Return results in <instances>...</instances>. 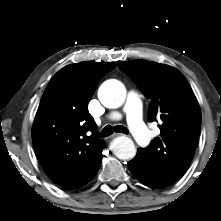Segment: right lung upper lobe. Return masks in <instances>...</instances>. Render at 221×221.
I'll return each instance as SVG.
<instances>
[{"instance_id": "cb5924a9", "label": "right lung upper lobe", "mask_w": 221, "mask_h": 221, "mask_svg": "<svg viewBox=\"0 0 221 221\" xmlns=\"http://www.w3.org/2000/svg\"><path fill=\"white\" fill-rule=\"evenodd\" d=\"M116 64L81 62L65 66L49 82L32 130L35 153L58 185L83 186L102 158L105 146L87 106L100 79Z\"/></svg>"}]
</instances>
